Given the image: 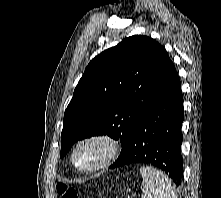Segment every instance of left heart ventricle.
<instances>
[{
  "mask_svg": "<svg viewBox=\"0 0 221 198\" xmlns=\"http://www.w3.org/2000/svg\"><path fill=\"white\" fill-rule=\"evenodd\" d=\"M104 154V147L98 143L83 145L76 154V162L82 167H91L97 164Z\"/></svg>",
  "mask_w": 221,
  "mask_h": 198,
  "instance_id": "left-heart-ventricle-1",
  "label": "left heart ventricle"
}]
</instances>
